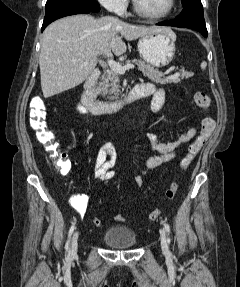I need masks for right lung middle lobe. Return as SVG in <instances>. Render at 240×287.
Returning a JSON list of instances; mask_svg holds the SVG:
<instances>
[{
	"label": "right lung middle lobe",
	"instance_id": "dd1d6c3e",
	"mask_svg": "<svg viewBox=\"0 0 240 287\" xmlns=\"http://www.w3.org/2000/svg\"><path fill=\"white\" fill-rule=\"evenodd\" d=\"M52 1H55V0H47V3L52 2Z\"/></svg>",
	"mask_w": 240,
	"mask_h": 287
}]
</instances>
